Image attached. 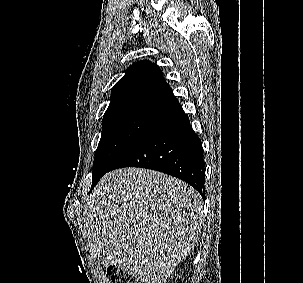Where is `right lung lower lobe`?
Here are the masks:
<instances>
[{"mask_svg": "<svg viewBox=\"0 0 303 283\" xmlns=\"http://www.w3.org/2000/svg\"><path fill=\"white\" fill-rule=\"evenodd\" d=\"M122 167H142L175 176L204 198L205 164L201 140L180 104L157 116L109 171Z\"/></svg>", "mask_w": 303, "mask_h": 283, "instance_id": "98d812e1", "label": "right lung lower lobe"}]
</instances>
